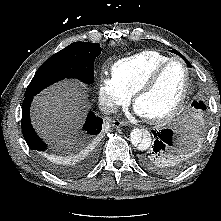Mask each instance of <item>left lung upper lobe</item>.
I'll use <instances>...</instances> for the list:
<instances>
[{"instance_id": "left-lung-upper-lobe-1", "label": "left lung upper lobe", "mask_w": 221, "mask_h": 221, "mask_svg": "<svg viewBox=\"0 0 221 221\" xmlns=\"http://www.w3.org/2000/svg\"><path fill=\"white\" fill-rule=\"evenodd\" d=\"M192 106L196 109H203V110L206 109V106L202 101H200V102L193 101Z\"/></svg>"}]
</instances>
